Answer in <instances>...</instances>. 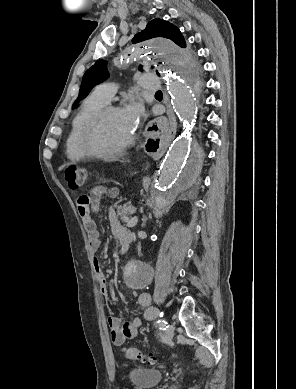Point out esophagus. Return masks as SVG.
Returning <instances> with one entry per match:
<instances>
[{
	"label": "esophagus",
	"instance_id": "esophagus-1",
	"mask_svg": "<svg viewBox=\"0 0 296 389\" xmlns=\"http://www.w3.org/2000/svg\"><path fill=\"white\" fill-rule=\"evenodd\" d=\"M171 117H174L173 110L168 104V113L163 112L162 119L155 121L152 118L146 120V127L143 135L146 139H160L170 127Z\"/></svg>",
	"mask_w": 296,
	"mask_h": 389
}]
</instances>
